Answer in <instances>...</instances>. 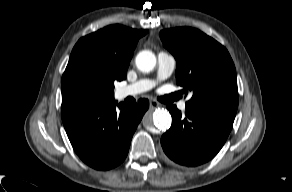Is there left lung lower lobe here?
Listing matches in <instances>:
<instances>
[{
	"label": "left lung lower lobe",
	"mask_w": 292,
	"mask_h": 192,
	"mask_svg": "<svg viewBox=\"0 0 292 192\" xmlns=\"http://www.w3.org/2000/svg\"><path fill=\"white\" fill-rule=\"evenodd\" d=\"M172 125L162 136L166 155L183 166H198L211 160L224 145L234 116L186 109L185 117L175 105L167 106Z\"/></svg>",
	"instance_id": "left-lung-lower-lobe-1"
}]
</instances>
